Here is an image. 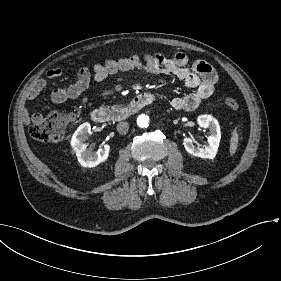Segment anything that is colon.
Returning a JSON list of instances; mask_svg holds the SVG:
<instances>
[{
	"mask_svg": "<svg viewBox=\"0 0 281 281\" xmlns=\"http://www.w3.org/2000/svg\"><path fill=\"white\" fill-rule=\"evenodd\" d=\"M226 107L235 109L238 107V101L233 97H225ZM68 124L67 118L61 113H53L41 118L35 119L29 128L31 136L40 142H58L65 134Z\"/></svg>",
	"mask_w": 281,
	"mask_h": 281,
	"instance_id": "5ec220e1",
	"label": "colon"
}]
</instances>
